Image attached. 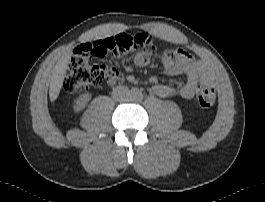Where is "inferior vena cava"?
Masks as SVG:
<instances>
[{
	"mask_svg": "<svg viewBox=\"0 0 265 202\" xmlns=\"http://www.w3.org/2000/svg\"><path fill=\"white\" fill-rule=\"evenodd\" d=\"M112 97L117 102H125L130 99L131 91L125 86H118L113 89Z\"/></svg>",
	"mask_w": 265,
	"mask_h": 202,
	"instance_id": "602c4592",
	"label": "inferior vena cava"
}]
</instances>
